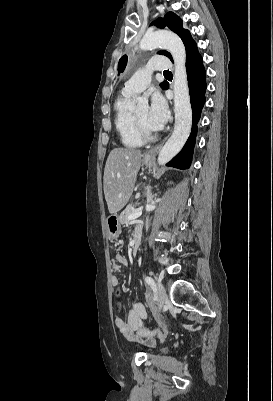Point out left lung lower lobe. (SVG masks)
Segmentation results:
<instances>
[{
	"label": "left lung lower lobe",
	"mask_w": 273,
	"mask_h": 401,
	"mask_svg": "<svg viewBox=\"0 0 273 401\" xmlns=\"http://www.w3.org/2000/svg\"><path fill=\"white\" fill-rule=\"evenodd\" d=\"M186 70L188 78L191 107L193 111L192 130L182 151L174 157L167 166L178 169L189 168L192 161L193 148L197 134V123L200 119L201 110L205 103L206 91V71L202 64V57L197 50L196 43L193 42L186 48ZM168 88V84L164 89Z\"/></svg>",
	"instance_id": "obj_1"
}]
</instances>
